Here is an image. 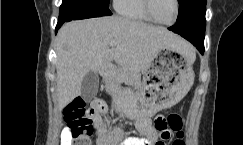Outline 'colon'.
I'll return each mask as SVG.
<instances>
[{
	"label": "colon",
	"mask_w": 243,
	"mask_h": 145,
	"mask_svg": "<svg viewBox=\"0 0 243 145\" xmlns=\"http://www.w3.org/2000/svg\"><path fill=\"white\" fill-rule=\"evenodd\" d=\"M67 127L73 137V145H90V136L97 127L93 120V108H87L82 99H75L69 103L63 111ZM155 129L162 138L170 134V130L176 132V139L172 145H185L182 131L183 118L177 113H171L167 118L159 116L154 122Z\"/></svg>",
	"instance_id": "5ec220e1"
}]
</instances>
